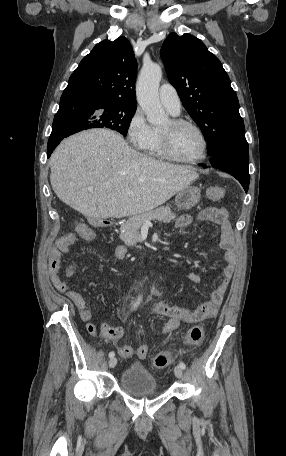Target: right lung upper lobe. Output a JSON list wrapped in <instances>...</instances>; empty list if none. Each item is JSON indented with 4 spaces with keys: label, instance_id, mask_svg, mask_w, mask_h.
<instances>
[{
    "label": "right lung upper lobe",
    "instance_id": "cb5924a9",
    "mask_svg": "<svg viewBox=\"0 0 286 456\" xmlns=\"http://www.w3.org/2000/svg\"><path fill=\"white\" fill-rule=\"evenodd\" d=\"M136 71V59L127 38L104 40L82 59L64 93L136 106Z\"/></svg>",
    "mask_w": 286,
    "mask_h": 456
}]
</instances>
